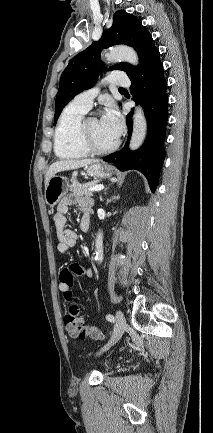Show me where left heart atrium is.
Listing matches in <instances>:
<instances>
[{
  "mask_svg": "<svg viewBox=\"0 0 213 433\" xmlns=\"http://www.w3.org/2000/svg\"><path fill=\"white\" fill-rule=\"evenodd\" d=\"M108 132L117 139L123 130V121L115 106L109 105L100 120Z\"/></svg>",
  "mask_w": 213,
  "mask_h": 433,
  "instance_id": "obj_1",
  "label": "left heart atrium"
}]
</instances>
